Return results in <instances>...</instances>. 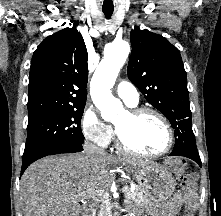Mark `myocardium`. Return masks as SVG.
<instances>
[{"label":"myocardium","mask_w":221,"mask_h":216,"mask_svg":"<svg viewBox=\"0 0 221 216\" xmlns=\"http://www.w3.org/2000/svg\"><path fill=\"white\" fill-rule=\"evenodd\" d=\"M127 113L134 119H138V118H140L144 115H148V114L157 117L166 128L167 144L164 147V149H162L159 152H154V153L141 152L137 149H134L130 145H128L125 142V140L123 139L118 128L115 126L116 143H117V147L121 151L128 153L130 155L139 156V157H143V158H157V157L167 154L171 150V148L173 147V144H174V131H173V128H172L169 120L161 112H159L158 110L151 108V107H134V108H131L130 110H128Z\"/></svg>","instance_id":"obj_1"}]
</instances>
